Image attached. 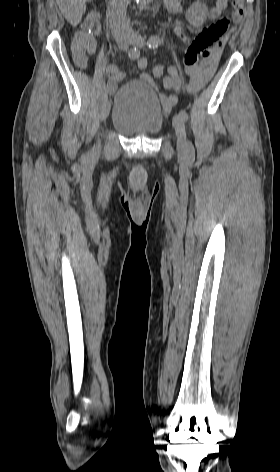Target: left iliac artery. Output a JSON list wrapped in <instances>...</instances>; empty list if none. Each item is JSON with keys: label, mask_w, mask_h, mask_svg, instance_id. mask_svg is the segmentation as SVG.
<instances>
[{"label": "left iliac artery", "mask_w": 280, "mask_h": 472, "mask_svg": "<svg viewBox=\"0 0 280 472\" xmlns=\"http://www.w3.org/2000/svg\"><path fill=\"white\" fill-rule=\"evenodd\" d=\"M161 44V39L158 36H151L148 38L147 45L149 48H157ZM168 73L170 75L171 86L174 90H180L182 87V80L178 74L176 67L169 66ZM178 116L183 120H188V114L185 110H180Z\"/></svg>", "instance_id": "obj_1"}]
</instances>
